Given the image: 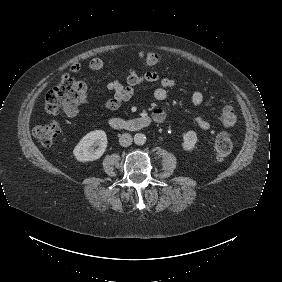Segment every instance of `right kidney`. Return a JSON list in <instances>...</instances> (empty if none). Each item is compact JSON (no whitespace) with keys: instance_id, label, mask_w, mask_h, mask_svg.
<instances>
[{"instance_id":"ca27d5eb","label":"right kidney","mask_w":282,"mask_h":282,"mask_svg":"<svg viewBox=\"0 0 282 282\" xmlns=\"http://www.w3.org/2000/svg\"><path fill=\"white\" fill-rule=\"evenodd\" d=\"M99 147L94 150L93 144ZM107 135L104 130H94L84 135L73 149V156L78 162L86 163L99 159L107 149Z\"/></svg>"}]
</instances>
